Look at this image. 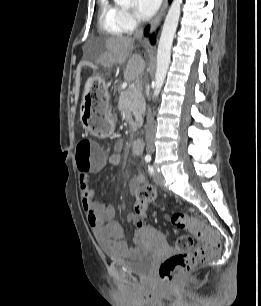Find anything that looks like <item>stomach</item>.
<instances>
[{
	"instance_id": "1",
	"label": "stomach",
	"mask_w": 261,
	"mask_h": 306,
	"mask_svg": "<svg viewBox=\"0 0 261 306\" xmlns=\"http://www.w3.org/2000/svg\"><path fill=\"white\" fill-rule=\"evenodd\" d=\"M80 121L92 134L104 135L113 129L114 119L109 110L106 86L97 82L86 87L80 105Z\"/></svg>"
}]
</instances>
